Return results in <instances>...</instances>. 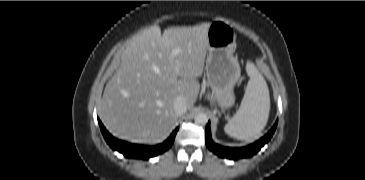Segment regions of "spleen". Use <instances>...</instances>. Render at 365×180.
Returning a JSON list of instances; mask_svg holds the SVG:
<instances>
[{
  "label": "spleen",
  "mask_w": 365,
  "mask_h": 180,
  "mask_svg": "<svg viewBox=\"0 0 365 180\" xmlns=\"http://www.w3.org/2000/svg\"><path fill=\"white\" fill-rule=\"evenodd\" d=\"M246 71L250 79L241 105L224 127L226 134L240 140L259 135L267 124L270 111L269 89L264 77L252 62H247Z\"/></svg>",
  "instance_id": "3e777b00"
}]
</instances>
